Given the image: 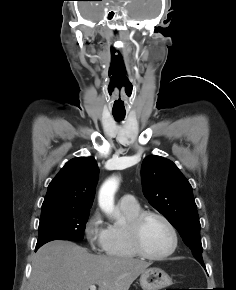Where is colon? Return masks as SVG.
Wrapping results in <instances>:
<instances>
[{"label": "colon", "mask_w": 236, "mask_h": 290, "mask_svg": "<svg viewBox=\"0 0 236 290\" xmlns=\"http://www.w3.org/2000/svg\"><path fill=\"white\" fill-rule=\"evenodd\" d=\"M165 290H177V289H171V288H167V289H165Z\"/></svg>", "instance_id": "5ec220e1"}]
</instances>
